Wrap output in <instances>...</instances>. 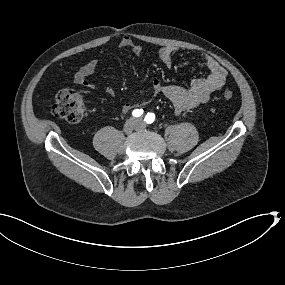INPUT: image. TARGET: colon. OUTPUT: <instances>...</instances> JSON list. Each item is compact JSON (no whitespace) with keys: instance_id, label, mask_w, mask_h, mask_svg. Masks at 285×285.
Returning a JSON list of instances; mask_svg holds the SVG:
<instances>
[{"instance_id":"5ec220e1","label":"colon","mask_w":285,"mask_h":285,"mask_svg":"<svg viewBox=\"0 0 285 285\" xmlns=\"http://www.w3.org/2000/svg\"><path fill=\"white\" fill-rule=\"evenodd\" d=\"M223 98L225 100L232 99L233 92L225 90ZM53 113L56 117L64 119L67 122H79L85 114V106L81 94L71 89L60 91L55 98Z\"/></svg>"}]
</instances>
